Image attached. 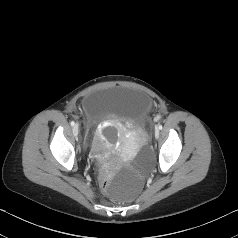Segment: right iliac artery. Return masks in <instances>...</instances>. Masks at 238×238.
Here are the masks:
<instances>
[{
    "label": "right iliac artery",
    "mask_w": 238,
    "mask_h": 238,
    "mask_svg": "<svg viewBox=\"0 0 238 238\" xmlns=\"http://www.w3.org/2000/svg\"><path fill=\"white\" fill-rule=\"evenodd\" d=\"M70 125H71V126H74V125H75L74 121H71Z\"/></svg>",
    "instance_id": "obj_1"
}]
</instances>
